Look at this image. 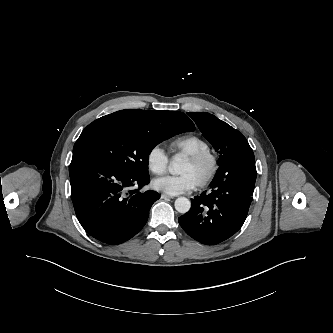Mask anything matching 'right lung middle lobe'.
Wrapping results in <instances>:
<instances>
[{
  "mask_svg": "<svg viewBox=\"0 0 333 333\" xmlns=\"http://www.w3.org/2000/svg\"><path fill=\"white\" fill-rule=\"evenodd\" d=\"M178 133L177 129L147 130L127 123L94 121L82 131L73 153L87 152L127 174L146 176L151 150Z\"/></svg>",
  "mask_w": 333,
  "mask_h": 333,
  "instance_id": "dd1d6c3e",
  "label": "right lung middle lobe"
}]
</instances>
